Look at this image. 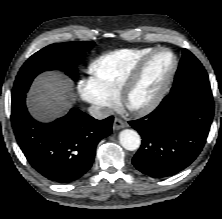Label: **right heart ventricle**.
<instances>
[{"instance_id":"right-heart-ventricle-1","label":"right heart ventricle","mask_w":222,"mask_h":219,"mask_svg":"<svg viewBox=\"0 0 222 219\" xmlns=\"http://www.w3.org/2000/svg\"><path fill=\"white\" fill-rule=\"evenodd\" d=\"M153 49H119L99 56L89 65L91 83L100 94L116 100L125 79L139 60Z\"/></svg>"}]
</instances>
